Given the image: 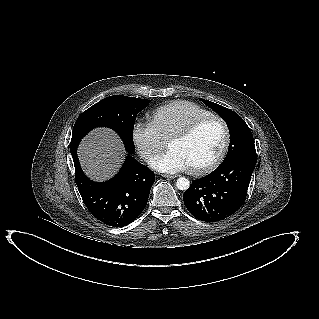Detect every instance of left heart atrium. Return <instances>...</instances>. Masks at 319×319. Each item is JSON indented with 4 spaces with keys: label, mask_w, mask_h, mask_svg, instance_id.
I'll return each mask as SVG.
<instances>
[{
    "label": "left heart atrium",
    "mask_w": 319,
    "mask_h": 319,
    "mask_svg": "<svg viewBox=\"0 0 319 319\" xmlns=\"http://www.w3.org/2000/svg\"><path fill=\"white\" fill-rule=\"evenodd\" d=\"M151 166L158 171L167 173L180 172L188 168L184 157L178 151L171 148L154 158Z\"/></svg>",
    "instance_id": "1"
}]
</instances>
